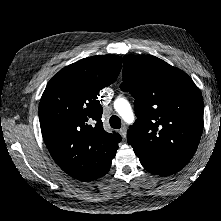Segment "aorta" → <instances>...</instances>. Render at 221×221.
Instances as JSON below:
<instances>
[{
    "label": "aorta",
    "mask_w": 221,
    "mask_h": 221,
    "mask_svg": "<svg viewBox=\"0 0 221 221\" xmlns=\"http://www.w3.org/2000/svg\"><path fill=\"white\" fill-rule=\"evenodd\" d=\"M114 109L126 122H129L128 120L133 118L130 103L125 98H117L114 101Z\"/></svg>",
    "instance_id": "obj_1"
}]
</instances>
